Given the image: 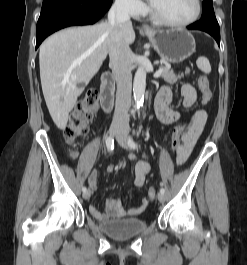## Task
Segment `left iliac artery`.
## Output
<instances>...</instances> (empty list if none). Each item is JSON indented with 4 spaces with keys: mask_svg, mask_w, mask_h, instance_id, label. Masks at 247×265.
<instances>
[{
    "mask_svg": "<svg viewBox=\"0 0 247 265\" xmlns=\"http://www.w3.org/2000/svg\"><path fill=\"white\" fill-rule=\"evenodd\" d=\"M128 144L131 146V148L133 149H137L138 148V144L133 140V138H129L128 140ZM161 193H165V189L162 187L160 189Z\"/></svg>",
    "mask_w": 247,
    "mask_h": 265,
    "instance_id": "obj_1",
    "label": "left iliac artery"
}]
</instances>
